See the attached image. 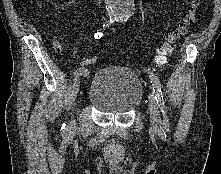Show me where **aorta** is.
<instances>
[{
  "instance_id": "762f6f07",
  "label": "aorta",
  "mask_w": 221,
  "mask_h": 174,
  "mask_svg": "<svg viewBox=\"0 0 221 174\" xmlns=\"http://www.w3.org/2000/svg\"><path fill=\"white\" fill-rule=\"evenodd\" d=\"M106 10L110 19L123 20L133 13L134 0H105Z\"/></svg>"
}]
</instances>
